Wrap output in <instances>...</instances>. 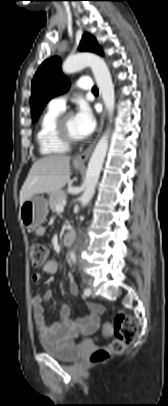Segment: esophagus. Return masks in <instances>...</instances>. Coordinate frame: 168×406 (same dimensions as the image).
Wrapping results in <instances>:
<instances>
[{
    "label": "esophagus",
    "mask_w": 168,
    "mask_h": 406,
    "mask_svg": "<svg viewBox=\"0 0 168 406\" xmlns=\"http://www.w3.org/2000/svg\"><path fill=\"white\" fill-rule=\"evenodd\" d=\"M99 101H100V103L103 104V99H102L101 95H99ZM104 120H105V107H103L100 124H99V128H98V133H97L95 140L84 151H82L81 153L77 154L74 157V159H73L74 163L80 164V165H84L86 163V161L88 160V158L90 157V155L92 153V150L96 144L98 137L101 134V131H102L103 125H104Z\"/></svg>",
    "instance_id": "obj_1"
}]
</instances>
